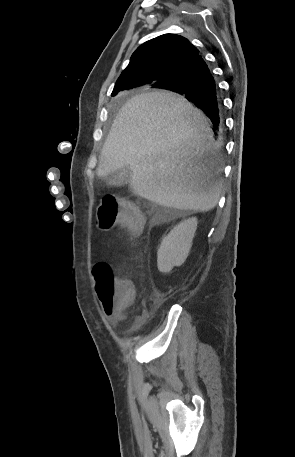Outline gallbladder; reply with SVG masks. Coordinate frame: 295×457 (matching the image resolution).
Wrapping results in <instances>:
<instances>
[{"label": "gallbladder", "mask_w": 295, "mask_h": 457, "mask_svg": "<svg viewBox=\"0 0 295 457\" xmlns=\"http://www.w3.org/2000/svg\"><path fill=\"white\" fill-rule=\"evenodd\" d=\"M130 179H131V171L128 167H124L119 171L110 173L106 177V181L108 182V184L111 186H116V187L129 183Z\"/></svg>", "instance_id": "bac80fb5"}]
</instances>
